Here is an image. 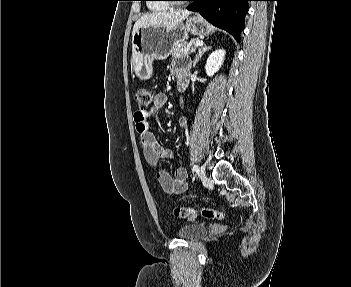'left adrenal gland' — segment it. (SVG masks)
Wrapping results in <instances>:
<instances>
[{
	"mask_svg": "<svg viewBox=\"0 0 351 287\" xmlns=\"http://www.w3.org/2000/svg\"><path fill=\"white\" fill-rule=\"evenodd\" d=\"M209 49H211V46H206L204 45L202 48L198 49V53L195 56V59L193 61V67L196 66L197 62L199 61V59H201L202 55L208 51Z\"/></svg>",
	"mask_w": 351,
	"mask_h": 287,
	"instance_id": "left-adrenal-gland-1",
	"label": "left adrenal gland"
}]
</instances>
